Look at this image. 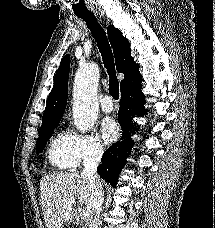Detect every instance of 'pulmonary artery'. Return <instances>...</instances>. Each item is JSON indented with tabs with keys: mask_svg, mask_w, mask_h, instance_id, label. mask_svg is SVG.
<instances>
[{
	"mask_svg": "<svg viewBox=\"0 0 215 228\" xmlns=\"http://www.w3.org/2000/svg\"><path fill=\"white\" fill-rule=\"evenodd\" d=\"M101 108L104 112H111L114 109V103L111 96L106 95L101 101Z\"/></svg>",
	"mask_w": 215,
	"mask_h": 228,
	"instance_id": "e3ab8cb5",
	"label": "pulmonary artery"
}]
</instances>
